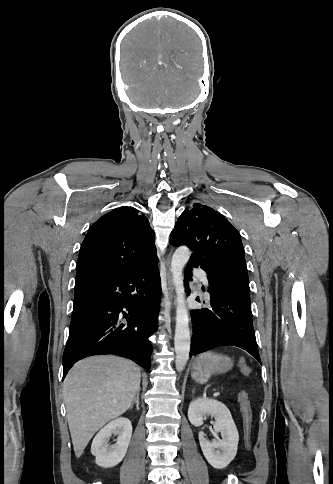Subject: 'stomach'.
Segmentation results:
<instances>
[{
	"label": "stomach",
	"instance_id": "stomach-1",
	"mask_svg": "<svg viewBox=\"0 0 333 484\" xmlns=\"http://www.w3.org/2000/svg\"><path fill=\"white\" fill-rule=\"evenodd\" d=\"M232 367L229 356L205 352L193 360L191 376L196 382L204 384L213 374L227 372Z\"/></svg>",
	"mask_w": 333,
	"mask_h": 484
}]
</instances>
